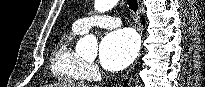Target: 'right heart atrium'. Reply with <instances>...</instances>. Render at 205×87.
I'll use <instances>...</instances> for the list:
<instances>
[{"label":"right heart atrium","mask_w":205,"mask_h":87,"mask_svg":"<svg viewBox=\"0 0 205 87\" xmlns=\"http://www.w3.org/2000/svg\"><path fill=\"white\" fill-rule=\"evenodd\" d=\"M84 72L88 78L96 77L99 73L97 66L92 62L85 63Z\"/></svg>","instance_id":"d8ad5b80"}]
</instances>
